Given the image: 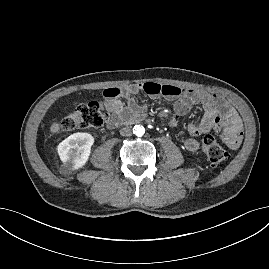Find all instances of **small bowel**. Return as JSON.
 Instances as JSON below:
<instances>
[{"label":"small bowel","mask_w":269,"mask_h":269,"mask_svg":"<svg viewBox=\"0 0 269 269\" xmlns=\"http://www.w3.org/2000/svg\"><path fill=\"white\" fill-rule=\"evenodd\" d=\"M141 92L155 98L164 97L168 101H174L175 116L171 120L172 124L176 123L178 116L188 113L194 105H201L204 115L198 122L188 124L189 134L198 136L215 130L229 148L237 149L240 146L243 136L241 119L222 97L201 89H181L154 82L134 84L124 89L110 87L104 90L102 105L110 113L109 128L143 117L144 106L133 98L134 94ZM183 145L190 152L199 149V142L193 137L184 138Z\"/></svg>","instance_id":"1"}]
</instances>
